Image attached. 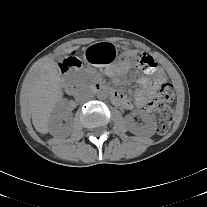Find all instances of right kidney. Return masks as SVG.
<instances>
[{
    "label": "right kidney",
    "mask_w": 207,
    "mask_h": 207,
    "mask_svg": "<svg viewBox=\"0 0 207 207\" xmlns=\"http://www.w3.org/2000/svg\"><path fill=\"white\" fill-rule=\"evenodd\" d=\"M69 119V113L67 111V102L65 100L60 101L55 107L49 120V132L60 131L64 125L63 120Z\"/></svg>",
    "instance_id": "ca27d5eb"
}]
</instances>
